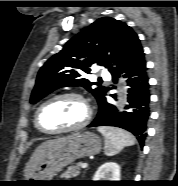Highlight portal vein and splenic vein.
<instances>
[{
  "mask_svg": "<svg viewBox=\"0 0 178 186\" xmlns=\"http://www.w3.org/2000/svg\"><path fill=\"white\" fill-rule=\"evenodd\" d=\"M87 167H88V164H87V163H82V164H81V168L84 169V168H87Z\"/></svg>",
  "mask_w": 178,
  "mask_h": 186,
  "instance_id": "portal-vein-and-splenic-vein-1",
  "label": "portal vein and splenic vein"
}]
</instances>
